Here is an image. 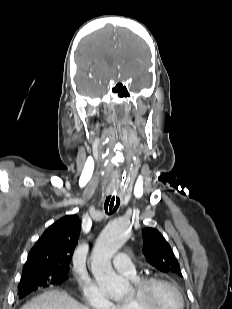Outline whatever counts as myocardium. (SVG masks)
Instances as JSON below:
<instances>
[{
    "label": "myocardium",
    "mask_w": 232,
    "mask_h": 309,
    "mask_svg": "<svg viewBox=\"0 0 232 309\" xmlns=\"http://www.w3.org/2000/svg\"><path fill=\"white\" fill-rule=\"evenodd\" d=\"M164 284L172 288L180 297L181 309L186 307V299L179 286L169 279L159 276H145L141 278L133 288V292L128 298L134 309H156L152 301V290L154 286Z\"/></svg>",
    "instance_id": "myocardium-1"
}]
</instances>
